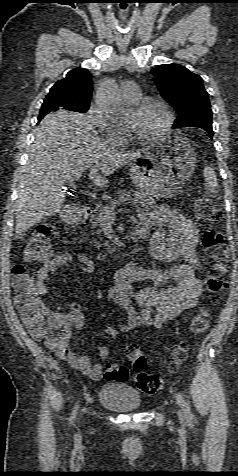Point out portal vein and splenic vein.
Here are the masks:
<instances>
[{
	"instance_id": "portal-vein-and-splenic-vein-1",
	"label": "portal vein and splenic vein",
	"mask_w": 238,
	"mask_h": 476,
	"mask_svg": "<svg viewBox=\"0 0 238 476\" xmlns=\"http://www.w3.org/2000/svg\"><path fill=\"white\" fill-rule=\"evenodd\" d=\"M81 176H82V174L78 173L74 177L76 179H79ZM121 211H122V209L119 210L118 212H121ZM124 211H130V209H124ZM116 214H117V212L114 211V210H106L105 213H104L103 219L106 220V221H112L116 218Z\"/></svg>"
}]
</instances>
